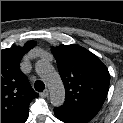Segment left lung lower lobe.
<instances>
[{"label": "left lung lower lobe", "instance_id": "left-lung-lower-lobe-1", "mask_svg": "<svg viewBox=\"0 0 123 123\" xmlns=\"http://www.w3.org/2000/svg\"><path fill=\"white\" fill-rule=\"evenodd\" d=\"M55 116H56V115H55ZM56 117H57L59 120L65 122V123H71V122L67 121L66 119L60 118V117H58V116H56Z\"/></svg>", "mask_w": 123, "mask_h": 123}]
</instances>
